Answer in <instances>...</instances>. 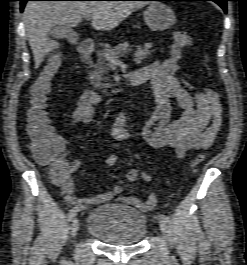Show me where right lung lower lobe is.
Returning a JSON list of instances; mask_svg holds the SVG:
<instances>
[{"mask_svg":"<svg viewBox=\"0 0 247 265\" xmlns=\"http://www.w3.org/2000/svg\"><path fill=\"white\" fill-rule=\"evenodd\" d=\"M19 1H21V8H20V10L23 11L24 6H25V3L27 1H30V0H19ZM82 1H97V0H82Z\"/></svg>","mask_w":247,"mask_h":265,"instance_id":"obj_1","label":"right lung lower lobe"}]
</instances>
